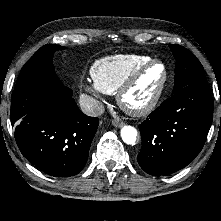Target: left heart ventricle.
Returning a JSON list of instances; mask_svg holds the SVG:
<instances>
[{
	"label": "left heart ventricle",
	"instance_id": "b2bd125f",
	"mask_svg": "<svg viewBox=\"0 0 221 221\" xmlns=\"http://www.w3.org/2000/svg\"><path fill=\"white\" fill-rule=\"evenodd\" d=\"M163 76L161 65H153L139 79L136 85L128 92L125 102L132 107L145 104L156 91Z\"/></svg>",
	"mask_w": 221,
	"mask_h": 221
}]
</instances>
